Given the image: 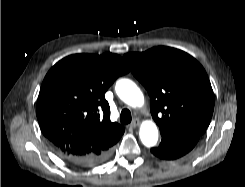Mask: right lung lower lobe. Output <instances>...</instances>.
<instances>
[{
  "label": "right lung lower lobe",
  "mask_w": 245,
  "mask_h": 187,
  "mask_svg": "<svg viewBox=\"0 0 245 187\" xmlns=\"http://www.w3.org/2000/svg\"><path fill=\"white\" fill-rule=\"evenodd\" d=\"M112 148L108 149V150H104L100 153L97 154H92L89 155L85 158H78V157H65V156H61L70 164L76 166V167H80V168H89V167H94L97 166L101 163H103L111 154Z\"/></svg>",
  "instance_id": "right-lung-lower-lobe-1"
}]
</instances>
